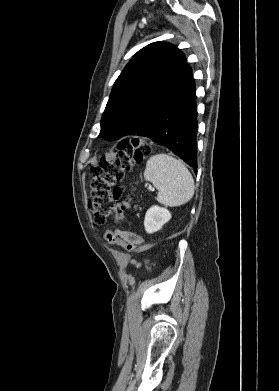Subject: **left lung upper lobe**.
Here are the masks:
<instances>
[{"instance_id": "obj_1", "label": "left lung upper lobe", "mask_w": 279, "mask_h": 391, "mask_svg": "<svg viewBox=\"0 0 279 391\" xmlns=\"http://www.w3.org/2000/svg\"><path fill=\"white\" fill-rule=\"evenodd\" d=\"M192 81V69L174 45L154 42L145 46L115 81L99 137L112 141L137 134Z\"/></svg>"}]
</instances>
